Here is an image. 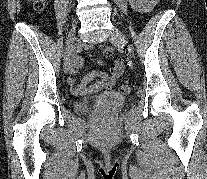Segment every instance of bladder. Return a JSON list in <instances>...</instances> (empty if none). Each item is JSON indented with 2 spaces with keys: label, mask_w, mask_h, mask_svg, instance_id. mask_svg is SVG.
<instances>
[{
  "label": "bladder",
  "mask_w": 207,
  "mask_h": 179,
  "mask_svg": "<svg viewBox=\"0 0 207 179\" xmlns=\"http://www.w3.org/2000/svg\"><path fill=\"white\" fill-rule=\"evenodd\" d=\"M94 102H95V99L78 100L75 102L74 107L77 112L81 114H87L90 112Z\"/></svg>",
  "instance_id": "31cf9c89"
}]
</instances>
